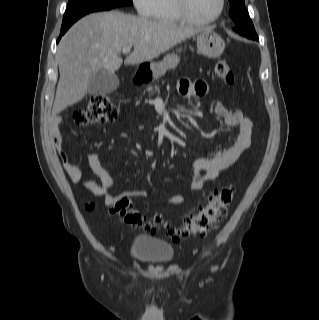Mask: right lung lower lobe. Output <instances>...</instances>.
<instances>
[{"instance_id":"1","label":"right lung lower lobe","mask_w":319,"mask_h":320,"mask_svg":"<svg viewBox=\"0 0 319 320\" xmlns=\"http://www.w3.org/2000/svg\"><path fill=\"white\" fill-rule=\"evenodd\" d=\"M67 30H68V28H65V29L61 28L60 36H59L57 42H59L60 38L62 37V35H63Z\"/></svg>"}]
</instances>
